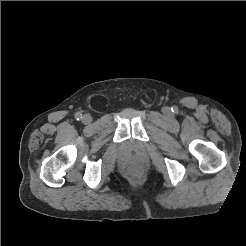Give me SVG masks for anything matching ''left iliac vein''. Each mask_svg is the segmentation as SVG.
Masks as SVG:
<instances>
[{
	"mask_svg": "<svg viewBox=\"0 0 246 246\" xmlns=\"http://www.w3.org/2000/svg\"><path fill=\"white\" fill-rule=\"evenodd\" d=\"M163 112H164L165 114H168V113L170 112V109L167 108V107H165V108L163 109Z\"/></svg>",
	"mask_w": 246,
	"mask_h": 246,
	"instance_id": "obj_1",
	"label": "left iliac vein"
}]
</instances>
